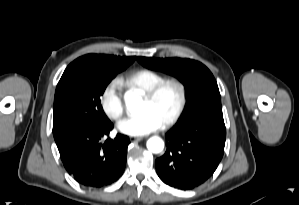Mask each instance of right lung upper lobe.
I'll use <instances>...</instances> for the list:
<instances>
[{
    "label": "right lung upper lobe",
    "instance_id": "right-lung-upper-lobe-1",
    "mask_svg": "<svg viewBox=\"0 0 299 205\" xmlns=\"http://www.w3.org/2000/svg\"><path fill=\"white\" fill-rule=\"evenodd\" d=\"M135 57H117L112 55L88 54L76 59L73 63L84 66L107 65V66H125L130 65Z\"/></svg>",
    "mask_w": 299,
    "mask_h": 205
}]
</instances>
